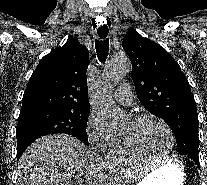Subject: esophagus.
<instances>
[{
    "label": "esophagus",
    "instance_id": "esophagus-1",
    "mask_svg": "<svg viewBox=\"0 0 207 185\" xmlns=\"http://www.w3.org/2000/svg\"><path fill=\"white\" fill-rule=\"evenodd\" d=\"M97 24H102V25L97 26L98 30H109L110 29L109 25H105L106 19H97ZM97 38H108V33H97Z\"/></svg>",
    "mask_w": 207,
    "mask_h": 185
}]
</instances>
